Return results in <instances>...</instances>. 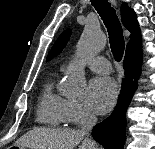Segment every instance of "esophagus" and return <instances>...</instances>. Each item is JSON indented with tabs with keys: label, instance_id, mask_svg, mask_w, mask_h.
I'll return each instance as SVG.
<instances>
[{
	"label": "esophagus",
	"instance_id": "1",
	"mask_svg": "<svg viewBox=\"0 0 155 149\" xmlns=\"http://www.w3.org/2000/svg\"><path fill=\"white\" fill-rule=\"evenodd\" d=\"M111 3L114 5V6H117V1L116 0H110Z\"/></svg>",
	"mask_w": 155,
	"mask_h": 149
}]
</instances>
